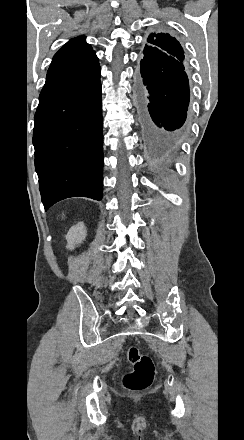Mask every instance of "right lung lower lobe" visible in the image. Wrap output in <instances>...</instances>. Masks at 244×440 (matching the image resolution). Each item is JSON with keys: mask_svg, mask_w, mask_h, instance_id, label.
I'll return each mask as SVG.
<instances>
[{"mask_svg": "<svg viewBox=\"0 0 244 440\" xmlns=\"http://www.w3.org/2000/svg\"><path fill=\"white\" fill-rule=\"evenodd\" d=\"M35 168L45 210L74 196L102 199L99 62L47 73L35 113Z\"/></svg>", "mask_w": 244, "mask_h": 440, "instance_id": "98d812e1", "label": "right lung lower lobe"}]
</instances>
